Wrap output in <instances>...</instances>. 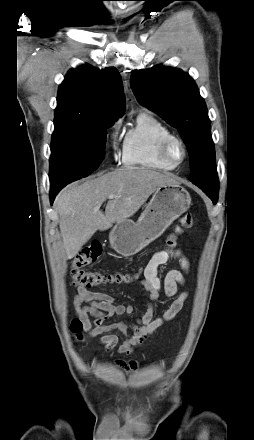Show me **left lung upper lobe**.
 I'll return each instance as SVG.
<instances>
[{
	"instance_id": "left-lung-upper-lobe-1",
	"label": "left lung upper lobe",
	"mask_w": 254,
	"mask_h": 440,
	"mask_svg": "<svg viewBox=\"0 0 254 440\" xmlns=\"http://www.w3.org/2000/svg\"><path fill=\"white\" fill-rule=\"evenodd\" d=\"M130 82L142 105L178 129L190 157L189 180L216 204L219 181L210 120L193 78L180 69L156 66L133 71Z\"/></svg>"
}]
</instances>
